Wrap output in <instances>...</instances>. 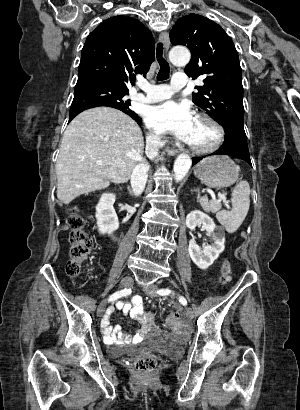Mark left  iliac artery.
Returning a JSON list of instances; mask_svg holds the SVG:
<instances>
[{
	"mask_svg": "<svg viewBox=\"0 0 300 410\" xmlns=\"http://www.w3.org/2000/svg\"><path fill=\"white\" fill-rule=\"evenodd\" d=\"M157 293H158L159 295L165 296V295H169V294L171 293V290L168 289V288L159 289V290L157 291ZM179 301L181 302L182 305H184V306L187 305V301H186V299H185L184 297H179Z\"/></svg>",
	"mask_w": 300,
	"mask_h": 410,
	"instance_id": "obj_1",
	"label": "left iliac artery"
}]
</instances>
